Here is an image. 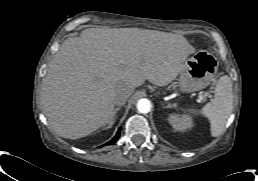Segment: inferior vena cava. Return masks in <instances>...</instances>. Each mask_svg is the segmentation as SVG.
Masks as SVG:
<instances>
[{
	"instance_id": "inferior-vena-cava-1",
	"label": "inferior vena cava",
	"mask_w": 258,
	"mask_h": 181,
	"mask_svg": "<svg viewBox=\"0 0 258 181\" xmlns=\"http://www.w3.org/2000/svg\"><path fill=\"white\" fill-rule=\"evenodd\" d=\"M130 96V94L128 92H125L124 94L120 95L117 97L116 99V104L118 105H124L127 98Z\"/></svg>"
}]
</instances>
